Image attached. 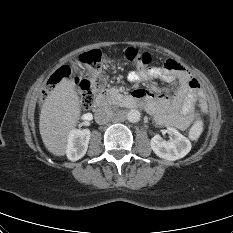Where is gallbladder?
<instances>
[{
	"label": "gallbladder",
	"mask_w": 233,
	"mask_h": 233,
	"mask_svg": "<svg viewBox=\"0 0 233 233\" xmlns=\"http://www.w3.org/2000/svg\"><path fill=\"white\" fill-rule=\"evenodd\" d=\"M74 70H75V71H79V69H78V67H77V66H75V67H74Z\"/></svg>",
	"instance_id": "obj_1"
}]
</instances>
